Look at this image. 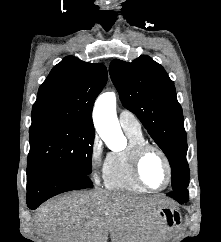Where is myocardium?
I'll use <instances>...</instances> for the list:
<instances>
[{"label": "myocardium", "mask_w": 221, "mask_h": 242, "mask_svg": "<svg viewBox=\"0 0 221 242\" xmlns=\"http://www.w3.org/2000/svg\"><path fill=\"white\" fill-rule=\"evenodd\" d=\"M151 151H155L157 152L163 159L166 169H167V180L166 183L164 184V186L160 187V188H153L151 186H149L146 181L144 180L142 173H141V165L142 162L144 160V158L146 157V155L151 152ZM131 168H132V173L134 178L136 179V181L142 186L144 187L146 190L149 191H153V192H160L165 190L171 183L172 181V177H173V168H172V164L171 161L168 157V155L165 153V151L154 144L151 143H143L140 145H137L131 154Z\"/></svg>", "instance_id": "1"}]
</instances>
